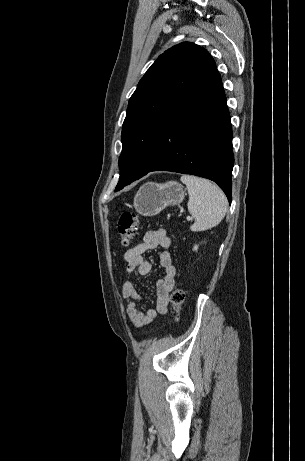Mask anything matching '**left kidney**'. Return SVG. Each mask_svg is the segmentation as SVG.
Instances as JSON below:
<instances>
[{
	"instance_id": "obj_1",
	"label": "left kidney",
	"mask_w": 305,
	"mask_h": 461,
	"mask_svg": "<svg viewBox=\"0 0 305 461\" xmlns=\"http://www.w3.org/2000/svg\"><path fill=\"white\" fill-rule=\"evenodd\" d=\"M197 249H198V246H197V245H195V246H194V248H193V250H197Z\"/></svg>"
}]
</instances>
